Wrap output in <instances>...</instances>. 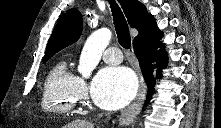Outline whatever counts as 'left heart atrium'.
Here are the masks:
<instances>
[{
  "label": "left heart atrium",
  "mask_w": 221,
  "mask_h": 128,
  "mask_svg": "<svg viewBox=\"0 0 221 128\" xmlns=\"http://www.w3.org/2000/svg\"><path fill=\"white\" fill-rule=\"evenodd\" d=\"M137 80L133 72L123 67L102 69L95 77L91 95L94 101L107 110L127 105L135 96Z\"/></svg>",
  "instance_id": "left-heart-atrium-1"
}]
</instances>
